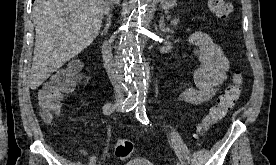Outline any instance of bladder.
Segmentation results:
<instances>
[{
	"label": "bladder",
	"instance_id": "obj_1",
	"mask_svg": "<svg viewBox=\"0 0 276 165\" xmlns=\"http://www.w3.org/2000/svg\"><path fill=\"white\" fill-rule=\"evenodd\" d=\"M124 165H153L149 160L144 158H133Z\"/></svg>",
	"mask_w": 276,
	"mask_h": 165
}]
</instances>
